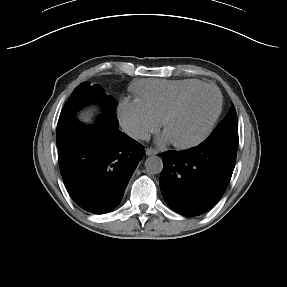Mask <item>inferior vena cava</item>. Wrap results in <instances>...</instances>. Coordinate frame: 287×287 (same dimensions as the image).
<instances>
[{"label":"inferior vena cava","instance_id":"602c4592","mask_svg":"<svg viewBox=\"0 0 287 287\" xmlns=\"http://www.w3.org/2000/svg\"><path fill=\"white\" fill-rule=\"evenodd\" d=\"M125 133L133 139L150 140V134L136 124H129L124 126Z\"/></svg>","mask_w":287,"mask_h":287}]
</instances>
